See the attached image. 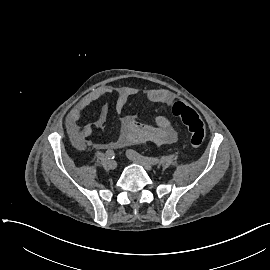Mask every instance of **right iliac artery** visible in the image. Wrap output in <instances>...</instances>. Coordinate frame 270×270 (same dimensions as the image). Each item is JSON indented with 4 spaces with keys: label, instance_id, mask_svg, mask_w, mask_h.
<instances>
[{
    "label": "right iliac artery",
    "instance_id": "right-iliac-artery-1",
    "mask_svg": "<svg viewBox=\"0 0 270 270\" xmlns=\"http://www.w3.org/2000/svg\"><path fill=\"white\" fill-rule=\"evenodd\" d=\"M106 157H107L108 159H114V158H115V153H114V151L111 150V149H108V150L106 151Z\"/></svg>",
    "mask_w": 270,
    "mask_h": 270
}]
</instances>
